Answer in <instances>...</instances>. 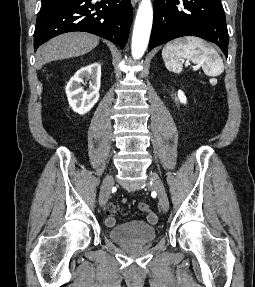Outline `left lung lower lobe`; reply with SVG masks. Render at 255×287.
Returning a JSON list of instances; mask_svg holds the SVG:
<instances>
[{
	"instance_id": "obj_1",
	"label": "left lung lower lobe",
	"mask_w": 255,
	"mask_h": 287,
	"mask_svg": "<svg viewBox=\"0 0 255 287\" xmlns=\"http://www.w3.org/2000/svg\"><path fill=\"white\" fill-rule=\"evenodd\" d=\"M181 36L211 41L227 57L229 35L221 0H156L148 51Z\"/></svg>"
}]
</instances>
